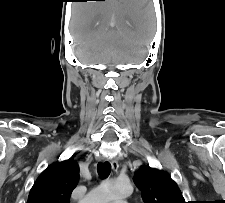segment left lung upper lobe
<instances>
[{"label": "left lung upper lobe", "instance_id": "left-lung-upper-lobe-1", "mask_svg": "<svg viewBox=\"0 0 225 203\" xmlns=\"http://www.w3.org/2000/svg\"><path fill=\"white\" fill-rule=\"evenodd\" d=\"M134 182L145 203H185L177 184L164 171L142 166Z\"/></svg>", "mask_w": 225, "mask_h": 203}]
</instances>
